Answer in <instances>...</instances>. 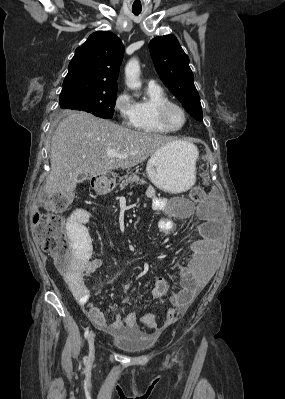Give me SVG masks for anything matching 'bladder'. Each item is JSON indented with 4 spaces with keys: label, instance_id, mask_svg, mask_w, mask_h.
<instances>
[{
    "label": "bladder",
    "instance_id": "1",
    "mask_svg": "<svg viewBox=\"0 0 285 399\" xmlns=\"http://www.w3.org/2000/svg\"><path fill=\"white\" fill-rule=\"evenodd\" d=\"M112 341L118 348L128 353L148 351L153 344V338L141 332L133 337H118Z\"/></svg>",
    "mask_w": 285,
    "mask_h": 399
}]
</instances>
